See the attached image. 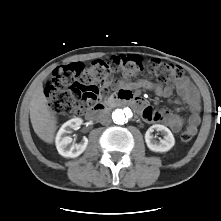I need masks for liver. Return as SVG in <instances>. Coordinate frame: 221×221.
Instances as JSON below:
<instances>
[{"label": "liver", "mask_w": 221, "mask_h": 221, "mask_svg": "<svg viewBox=\"0 0 221 221\" xmlns=\"http://www.w3.org/2000/svg\"><path fill=\"white\" fill-rule=\"evenodd\" d=\"M30 120L37 136L46 143H53L57 130V118L47 105L41 83L34 90L30 102Z\"/></svg>", "instance_id": "6515ba94"}]
</instances>
